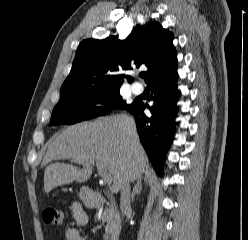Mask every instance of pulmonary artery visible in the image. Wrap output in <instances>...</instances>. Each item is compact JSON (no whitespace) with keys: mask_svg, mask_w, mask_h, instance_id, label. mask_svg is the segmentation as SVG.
<instances>
[{"mask_svg":"<svg viewBox=\"0 0 248 240\" xmlns=\"http://www.w3.org/2000/svg\"><path fill=\"white\" fill-rule=\"evenodd\" d=\"M143 85L139 82H136L132 85V92L134 94H141L143 92Z\"/></svg>","mask_w":248,"mask_h":240,"instance_id":"1","label":"pulmonary artery"}]
</instances>
